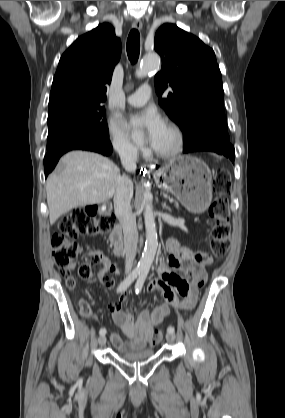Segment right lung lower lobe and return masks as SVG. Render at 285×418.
Listing matches in <instances>:
<instances>
[{"instance_id":"1","label":"right lung lower lobe","mask_w":285,"mask_h":418,"mask_svg":"<svg viewBox=\"0 0 285 418\" xmlns=\"http://www.w3.org/2000/svg\"><path fill=\"white\" fill-rule=\"evenodd\" d=\"M73 149H82L94 151L103 155H109L112 152V145L109 139L93 138L88 136L68 139L47 151V154L44 157L45 177H47L54 169L59 158L64 153Z\"/></svg>"}]
</instances>
